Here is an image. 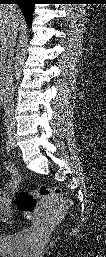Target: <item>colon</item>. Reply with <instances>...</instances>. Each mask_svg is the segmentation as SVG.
<instances>
[{"instance_id": "1", "label": "colon", "mask_w": 106, "mask_h": 257, "mask_svg": "<svg viewBox=\"0 0 106 257\" xmlns=\"http://www.w3.org/2000/svg\"><path fill=\"white\" fill-rule=\"evenodd\" d=\"M51 201H57L65 208L71 205V200L60 189L41 186L32 191L19 192L16 206L24 218L31 219L39 208H45Z\"/></svg>"}]
</instances>
